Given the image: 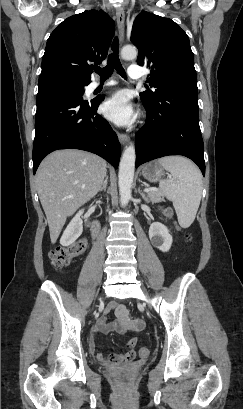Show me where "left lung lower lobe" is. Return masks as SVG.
<instances>
[{
    "label": "left lung lower lobe",
    "instance_id": "obj_1",
    "mask_svg": "<svg viewBox=\"0 0 243 409\" xmlns=\"http://www.w3.org/2000/svg\"><path fill=\"white\" fill-rule=\"evenodd\" d=\"M141 100L147 119L135 139L136 167L163 156L183 155L192 159L205 176L197 85L175 86L157 101Z\"/></svg>",
    "mask_w": 243,
    "mask_h": 409
}]
</instances>
